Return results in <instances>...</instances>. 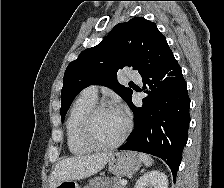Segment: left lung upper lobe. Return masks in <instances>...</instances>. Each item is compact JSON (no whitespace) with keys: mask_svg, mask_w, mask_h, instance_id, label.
Returning <instances> with one entry per match:
<instances>
[{"mask_svg":"<svg viewBox=\"0 0 224 188\" xmlns=\"http://www.w3.org/2000/svg\"><path fill=\"white\" fill-rule=\"evenodd\" d=\"M172 55L155 23L134 17L117 24L100 44L84 50L68 65L61 92L62 120L75 96L91 84L112 88L129 104L133 91L118 83L117 71L129 66L144 76Z\"/></svg>","mask_w":224,"mask_h":188,"instance_id":"obj_1","label":"left lung upper lobe"}]
</instances>
